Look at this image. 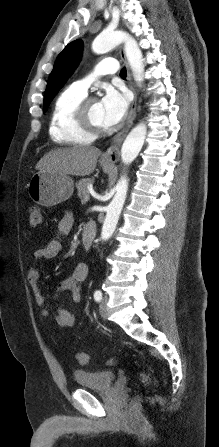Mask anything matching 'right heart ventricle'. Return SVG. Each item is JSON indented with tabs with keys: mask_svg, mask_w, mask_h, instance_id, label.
I'll use <instances>...</instances> for the list:
<instances>
[{
	"mask_svg": "<svg viewBox=\"0 0 219 447\" xmlns=\"http://www.w3.org/2000/svg\"><path fill=\"white\" fill-rule=\"evenodd\" d=\"M84 94L68 87L56 98L50 117L49 134L51 139L62 145H82L92 141V135L82 131L75 120V110Z\"/></svg>",
	"mask_w": 219,
	"mask_h": 447,
	"instance_id": "obj_1",
	"label": "right heart ventricle"
}]
</instances>
